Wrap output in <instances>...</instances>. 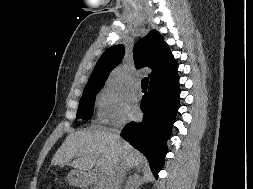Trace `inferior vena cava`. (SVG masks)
<instances>
[{
	"mask_svg": "<svg viewBox=\"0 0 253 189\" xmlns=\"http://www.w3.org/2000/svg\"><path fill=\"white\" fill-rule=\"evenodd\" d=\"M120 134V131H116V136ZM127 167L120 163L114 167V169L105 177L102 189H120V185L123 182L126 175Z\"/></svg>",
	"mask_w": 253,
	"mask_h": 189,
	"instance_id": "inferior-vena-cava-1",
	"label": "inferior vena cava"
}]
</instances>
